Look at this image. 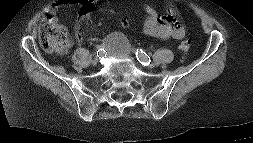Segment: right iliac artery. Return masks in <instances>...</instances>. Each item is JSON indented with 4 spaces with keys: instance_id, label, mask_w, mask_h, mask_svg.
<instances>
[{
    "instance_id": "right-iliac-artery-1",
    "label": "right iliac artery",
    "mask_w": 253,
    "mask_h": 143,
    "mask_svg": "<svg viewBox=\"0 0 253 143\" xmlns=\"http://www.w3.org/2000/svg\"><path fill=\"white\" fill-rule=\"evenodd\" d=\"M98 52H99V54L105 52V47H104V46H101V47L98 49V51H97V55H98Z\"/></svg>"
}]
</instances>
